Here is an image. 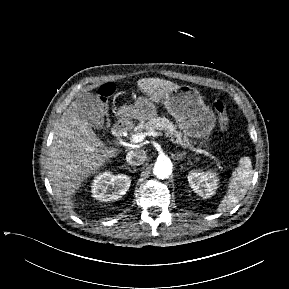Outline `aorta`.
Returning <instances> with one entry per match:
<instances>
[{"label":"aorta","mask_w":289,"mask_h":289,"mask_svg":"<svg viewBox=\"0 0 289 289\" xmlns=\"http://www.w3.org/2000/svg\"><path fill=\"white\" fill-rule=\"evenodd\" d=\"M172 173V162L168 157L157 158L153 168V174L159 179H165Z\"/></svg>","instance_id":"1"}]
</instances>
